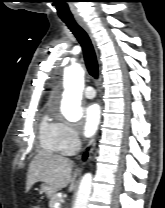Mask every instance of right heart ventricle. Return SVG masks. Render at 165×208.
Masks as SVG:
<instances>
[{
	"label": "right heart ventricle",
	"instance_id": "1",
	"mask_svg": "<svg viewBox=\"0 0 165 208\" xmlns=\"http://www.w3.org/2000/svg\"><path fill=\"white\" fill-rule=\"evenodd\" d=\"M40 141L42 147L49 152H61L58 142L57 125L47 114L44 115L40 123Z\"/></svg>",
	"mask_w": 165,
	"mask_h": 208
}]
</instances>
